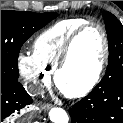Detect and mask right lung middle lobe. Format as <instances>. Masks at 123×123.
Listing matches in <instances>:
<instances>
[{
    "instance_id": "1",
    "label": "right lung middle lobe",
    "mask_w": 123,
    "mask_h": 123,
    "mask_svg": "<svg viewBox=\"0 0 123 123\" xmlns=\"http://www.w3.org/2000/svg\"><path fill=\"white\" fill-rule=\"evenodd\" d=\"M58 16L22 11H1V81L18 82V55L23 43Z\"/></svg>"
}]
</instances>
